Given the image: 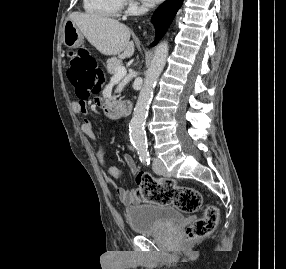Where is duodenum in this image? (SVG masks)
<instances>
[{
	"instance_id": "obj_1",
	"label": "duodenum",
	"mask_w": 286,
	"mask_h": 269,
	"mask_svg": "<svg viewBox=\"0 0 286 269\" xmlns=\"http://www.w3.org/2000/svg\"><path fill=\"white\" fill-rule=\"evenodd\" d=\"M106 108L110 110L115 109L119 114L126 115L131 110V103L127 101L111 102Z\"/></svg>"
}]
</instances>
